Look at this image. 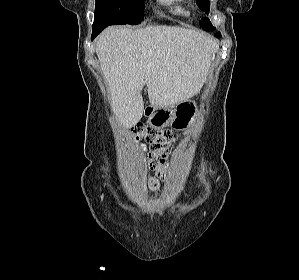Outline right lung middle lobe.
<instances>
[{
	"label": "right lung middle lobe",
	"mask_w": 299,
	"mask_h": 280,
	"mask_svg": "<svg viewBox=\"0 0 299 280\" xmlns=\"http://www.w3.org/2000/svg\"><path fill=\"white\" fill-rule=\"evenodd\" d=\"M143 11L144 0H96L95 12L113 15L120 24L141 23Z\"/></svg>",
	"instance_id": "dd1d6c3e"
}]
</instances>
